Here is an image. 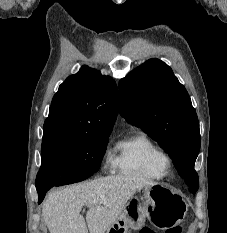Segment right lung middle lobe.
I'll list each match as a JSON object with an SVG mask.
<instances>
[{
    "instance_id": "1",
    "label": "right lung middle lobe",
    "mask_w": 227,
    "mask_h": 233,
    "mask_svg": "<svg viewBox=\"0 0 227 233\" xmlns=\"http://www.w3.org/2000/svg\"><path fill=\"white\" fill-rule=\"evenodd\" d=\"M110 133L44 134L42 164L35 183L37 191L79 182L92 176L99 170Z\"/></svg>"
}]
</instances>
